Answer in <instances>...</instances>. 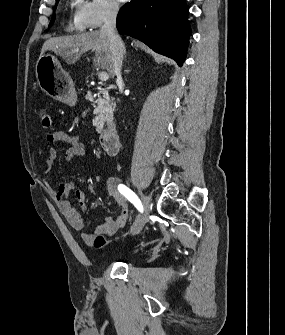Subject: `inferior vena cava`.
Listing matches in <instances>:
<instances>
[{"label":"inferior vena cava","instance_id":"obj_1","mask_svg":"<svg viewBox=\"0 0 285 335\" xmlns=\"http://www.w3.org/2000/svg\"><path fill=\"white\" fill-rule=\"evenodd\" d=\"M119 6L115 0H106L105 18L102 28H100L101 34H106L108 42L110 44V50L112 52V64L114 74L117 76V82H122L121 68L123 62V56H125V46L117 34L116 30V18L118 14Z\"/></svg>","mask_w":285,"mask_h":335}]
</instances>
